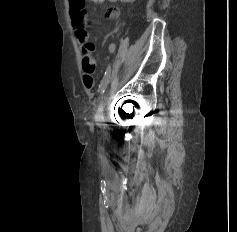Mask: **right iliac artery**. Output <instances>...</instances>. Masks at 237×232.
I'll return each mask as SVG.
<instances>
[{
    "label": "right iliac artery",
    "instance_id": "82829eb1",
    "mask_svg": "<svg viewBox=\"0 0 237 232\" xmlns=\"http://www.w3.org/2000/svg\"><path fill=\"white\" fill-rule=\"evenodd\" d=\"M115 48H116L115 44H110L109 52L112 54L115 51ZM110 75H111V65H108L107 70L104 74V77H103L100 87H99V91H100L101 95L105 92V89H106L107 84L110 79Z\"/></svg>",
    "mask_w": 237,
    "mask_h": 232
}]
</instances>
